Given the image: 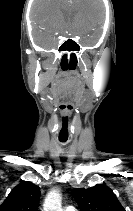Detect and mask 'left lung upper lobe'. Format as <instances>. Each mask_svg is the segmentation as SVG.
<instances>
[{
	"mask_svg": "<svg viewBox=\"0 0 133 211\" xmlns=\"http://www.w3.org/2000/svg\"><path fill=\"white\" fill-rule=\"evenodd\" d=\"M72 195L82 211H125L113 191L102 184L72 189Z\"/></svg>",
	"mask_w": 133,
	"mask_h": 211,
	"instance_id": "5c2ea615",
	"label": "left lung upper lobe"
}]
</instances>
